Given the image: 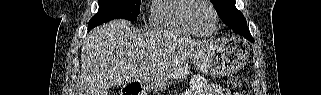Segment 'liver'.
Instances as JSON below:
<instances>
[{
  "mask_svg": "<svg viewBox=\"0 0 321 95\" xmlns=\"http://www.w3.org/2000/svg\"><path fill=\"white\" fill-rule=\"evenodd\" d=\"M169 39L158 32L137 33L123 19L95 28L82 46L75 95H107L112 85L153 79L192 57L208 42L180 39L172 43Z\"/></svg>",
  "mask_w": 321,
  "mask_h": 95,
  "instance_id": "obj_1",
  "label": "liver"
}]
</instances>
